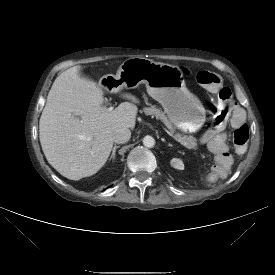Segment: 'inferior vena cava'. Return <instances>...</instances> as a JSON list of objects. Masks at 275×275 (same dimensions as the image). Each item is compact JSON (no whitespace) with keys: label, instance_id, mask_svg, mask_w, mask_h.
<instances>
[{"label":"inferior vena cava","instance_id":"1","mask_svg":"<svg viewBox=\"0 0 275 275\" xmlns=\"http://www.w3.org/2000/svg\"><path fill=\"white\" fill-rule=\"evenodd\" d=\"M131 137V131L128 128L117 129L113 134V141L118 144L127 142Z\"/></svg>","mask_w":275,"mask_h":275}]
</instances>
